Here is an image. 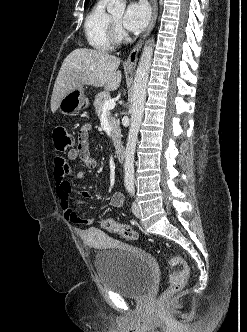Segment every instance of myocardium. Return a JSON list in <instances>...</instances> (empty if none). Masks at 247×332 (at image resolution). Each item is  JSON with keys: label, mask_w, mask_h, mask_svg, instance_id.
Wrapping results in <instances>:
<instances>
[{"label": "myocardium", "mask_w": 247, "mask_h": 332, "mask_svg": "<svg viewBox=\"0 0 247 332\" xmlns=\"http://www.w3.org/2000/svg\"><path fill=\"white\" fill-rule=\"evenodd\" d=\"M108 36L112 44H122L128 40L127 34L123 29H120L113 21L112 17L109 16L107 25Z\"/></svg>", "instance_id": "obj_1"}]
</instances>
